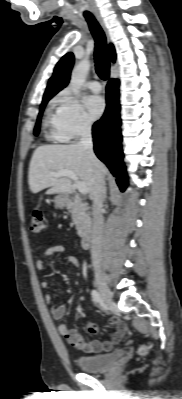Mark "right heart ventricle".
Segmentation results:
<instances>
[{
  "label": "right heart ventricle",
  "instance_id": "obj_1",
  "mask_svg": "<svg viewBox=\"0 0 182 399\" xmlns=\"http://www.w3.org/2000/svg\"><path fill=\"white\" fill-rule=\"evenodd\" d=\"M45 127L47 128V137L49 139L63 140L62 134L58 128L57 110H48L45 118Z\"/></svg>",
  "mask_w": 182,
  "mask_h": 399
}]
</instances>
